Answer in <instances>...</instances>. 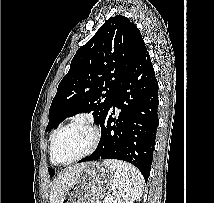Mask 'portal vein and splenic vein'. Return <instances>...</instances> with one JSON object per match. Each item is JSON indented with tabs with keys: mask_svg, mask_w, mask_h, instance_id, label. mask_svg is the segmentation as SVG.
<instances>
[{
	"mask_svg": "<svg viewBox=\"0 0 214 203\" xmlns=\"http://www.w3.org/2000/svg\"><path fill=\"white\" fill-rule=\"evenodd\" d=\"M105 200H106V201H108V200H113V196H112V195H108V196H106Z\"/></svg>",
	"mask_w": 214,
	"mask_h": 203,
	"instance_id": "1",
	"label": "portal vein and splenic vein"
}]
</instances>
